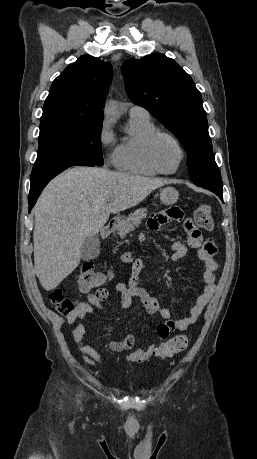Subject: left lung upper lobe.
<instances>
[{"label":"left lung upper lobe","mask_w":257,"mask_h":459,"mask_svg":"<svg viewBox=\"0 0 257 459\" xmlns=\"http://www.w3.org/2000/svg\"><path fill=\"white\" fill-rule=\"evenodd\" d=\"M122 75L132 102L147 109L179 139L188 155L193 183L222 192L201 93L192 78L163 54L126 61Z\"/></svg>","instance_id":"5c2ea615"}]
</instances>
